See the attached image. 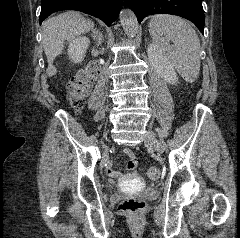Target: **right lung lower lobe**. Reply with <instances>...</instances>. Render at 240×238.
<instances>
[{"label":"right lung lower lobe","mask_w":240,"mask_h":238,"mask_svg":"<svg viewBox=\"0 0 240 238\" xmlns=\"http://www.w3.org/2000/svg\"><path fill=\"white\" fill-rule=\"evenodd\" d=\"M122 0H41L40 24L52 13L78 10L100 18L111 25L118 18Z\"/></svg>","instance_id":"98d812e1"}]
</instances>
